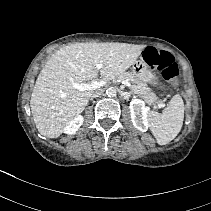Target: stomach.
Segmentation results:
<instances>
[{"label": "stomach", "instance_id": "stomach-1", "mask_svg": "<svg viewBox=\"0 0 211 211\" xmlns=\"http://www.w3.org/2000/svg\"><path fill=\"white\" fill-rule=\"evenodd\" d=\"M131 72L137 79L144 83L157 84V78L155 74L152 72L150 66L143 58H140V60L136 61L132 65Z\"/></svg>", "mask_w": 211, "mask_h": 211}]
</instances>
